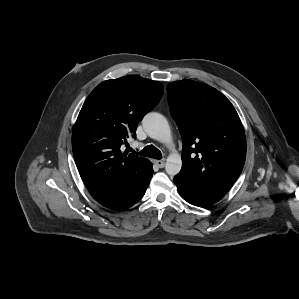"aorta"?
Here are the masks:
<instances>
[{
    "label": "aorta",
    "mask_w": 299,
    "mask_h": 299,
    "mask_svg": "<svg viewBox=\"0 0 299 299\" xmlns=\"http://www.w3.org/2000/svg\"><path fill=\"white\" fill-rule=\"evenodd\" d=\"M142 125L150 138L167 145L172 144L170 126L163 115L156 112H150L144 116ZM181 167V156L177 152L173 151L167 157L165 170L167 174L174 176L180 172Z\"/></svg>",
    "instance_id": "aorta-1"
}]
</instances>
